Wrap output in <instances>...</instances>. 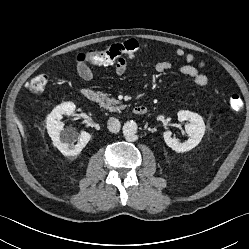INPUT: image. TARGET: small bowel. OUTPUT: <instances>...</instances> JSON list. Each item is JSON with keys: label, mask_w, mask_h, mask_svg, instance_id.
Segmentation results:
<instances>
[{"label": "small bowel", "mask_w": 249, "mask_h": 249, "mask_svg": "<svg viewBox=\"0 0 249 249\" xmlns=\"http://www.w3.org/2000/svg\"><path fill=\"white\" fill-rule=\"evenodd\" d=\"M176 55L179 58H182L185 62L182 66L178 68V71L180 74L193 78L194 82L199 86V87H205L208 85L209 79L208 76L201 72L202 69H204L205 64L203 61H200L198 63V66L193 65V62L195 60V57L191 53H187L184 49L178 48L176 50ZM128 67V61L125 58H120L116 61L115 63V72L118 75H122L126 72ZM172 63L168 60H162L159 61L155 65V70L158 73L167 71L171 69ZM76 68L79 76L86 80H92L94 78V72L92 68L88 65V63L85 61L83 55H79L77 57L76 61Z\"/></svg>", "instance_id": "c3829d8e"}]
</instances>
